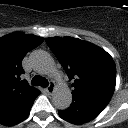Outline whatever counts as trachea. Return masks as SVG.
<instances>
[{
	"label": "trachea",
	"instance_id": "1",
	"mask_svg": "<svg viewBox=\"0 0 128 128\" xmlns=\"http://www.w3.org/2000/svg\"><path fill=\"white\" fill-rule=\"evenodd\" d=\"M31 83L34 86H41V87H47L49 85L48 80L44 77L39 76V75L34 76Z\"/></svg>",
	"mask_w": 128,
	"mask_h": 128
}]
</instances>
